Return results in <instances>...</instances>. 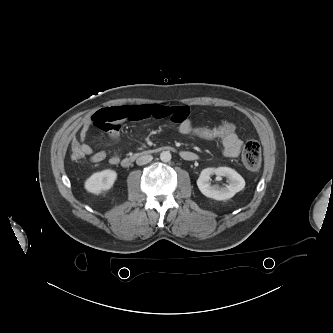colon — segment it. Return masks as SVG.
Here are the masks:
<instances>
[{
  "label": "colon",
  "mask_w": 333,
  "mask_h": 333,
  "mask_svg": "<svg viewBox=\"0 0 333 333\" xmlns=\"http://www.w3.org/2000/svg\"><path fill=\"white\" fill-rule=\"evenodd\" d=\"M235 130L234 126L230 123H220L213 127H199L189 130L179 129L180 133L185 136L200 138L204 140H220ZM71 158L73 160H80L84 158V152L81 144L77 140H73L71 143ZM242 161L244 165L250 170H257L261 164V147L258 141L254 139L248 140L242 151Z\"/></svg>",
  "instance_id": "obj_1"
}]
</instances>
